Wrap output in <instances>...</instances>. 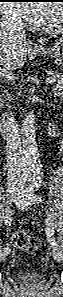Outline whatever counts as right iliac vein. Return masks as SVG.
<instances>
[{
	"label": "right iliac vein",
	"instance_id": "63e3f726",
	"mask_svg": "<svg viewBox=\"0 0 63 297\" xmlns=\"http://www.w3.org/2000/svg\"><path fill=\"white\" fill-rule=\"evenodd\" d=\"M9 252H6V251H2L0 253V260L1 261H4L6 259V256L8 255Z\"/></svg>",
	"mask_w": 63,
	"mask_h": 297
}]
</instances>
